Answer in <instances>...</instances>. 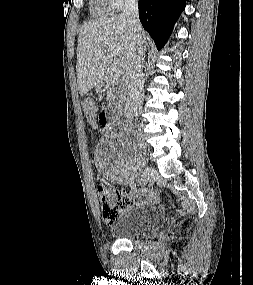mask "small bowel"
Returning a JSON list of instances; mask_svg holds the SVG:
<instances>
[{
    "mask_svg": "<svg viewBox=\"0 0 253 285\" xmlns=\"http://www.w3.org/2000/svg\"><path fill=\"white\" fill-rule=\"evenodd\" d=\"M108 109H99L96 114L99 126H108L109 118L107 117ZM135 203L139 206L156 204L160 201V196L152 189L142 188L136 191H130Z\"/></svg>",
    "mask_w": 253,
    "mask_h": 285,
    "instance_id": "obj_1",
    "label": "small bowel"
}]
</instances>
